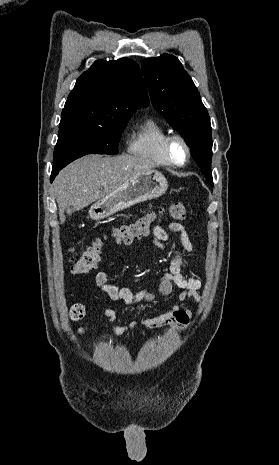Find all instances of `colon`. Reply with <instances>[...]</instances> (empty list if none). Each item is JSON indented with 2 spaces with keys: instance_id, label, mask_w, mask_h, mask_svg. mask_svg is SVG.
I'll return each instance as SVG.
<instances>
[{
  "instance_id": "colon-1",
  "label": "colon",
  "mask_w": 279,
  "mask_h": 465,
  "mask_svg": "<svg viewBox=\"0 0 279 465\" xmlns=\"http://www.w3.org/2000/svg\"><path fill=\"white\" fill-rule=\"evenodd\" d=\"M168 215L174 220H183L186 217V206L183 203H172L167 207ZM156 219L155 212H148L137 218L135 221L116 228L113 237L118 244H129L132 241L145 236L152 223ZM103 250L102 240L95 241L87 247L81 254L71 258L72 272L75 274H87L93 270L101 257ZM71 318L74 321L81 320L84 316L82 305H74L71 308Z\"/></svg>"
}]
</instances>
